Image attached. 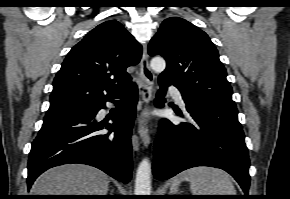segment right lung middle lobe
<instances>
[{
	"instance_id": "1",
	"label": "right lung middle lobe",
	"mask_w": 290,
	"mask_h": 199,
	"mask_svg": "<svg viewBox=\"0 0 290 199\" xmlns=\"http://www.w3.org/2000/svg\"><path fill=\"white\" fill-rule=\"evenodd\" d=\"M84 110V109H83ZM83 110H80V111H83ZM76 112H79V111H76ZM73 113H75V112H73Z\"/></svg>"
}]
</instances>
